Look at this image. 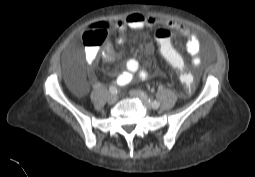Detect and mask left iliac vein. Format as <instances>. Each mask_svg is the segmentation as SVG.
Instances as JSON below:
<instances>
[{
  "label": "left iliac vein",
  "instance_id": "obj_1",
  "mask_svg": "<svg viewBox=\"0 0 255 177\" xmlns=\"http://www.w3.org/2000/svg\"><path fill=\"white\" fill-rule=\"evenodd\" d=\"M130 95L133 97L140 98L144 102V104L146 105L147 108H149V109L153 108L152 105L150 104V102L148 101V99L141 92L132 90V91H130Z\"/></svg>",
  "mask_w": 255,
  "mask_h": 177
}]
</instances>
